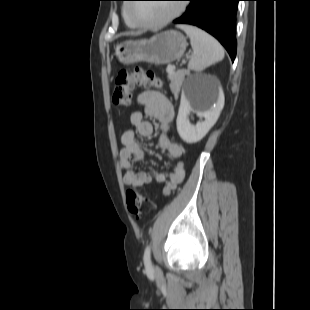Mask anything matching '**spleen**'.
<instances>
[{
	"mask_svg": "<svg viewBox=\"0 0 310 310\" xmlns=\"http://www.w3.org/2000/svg\"><path fill=\"white\" fill-rule=\"evenodd\" d=\"M178 27L188 35L193 49L194 55L189 61V69L202 71L224 58V49L214 37L195 26Z\"/></svg>",
	"mask_w": 310,
	"mask_h": 310,
	"instance_id": "obj_1",
	"label": "spleen"
}]
</instances>
